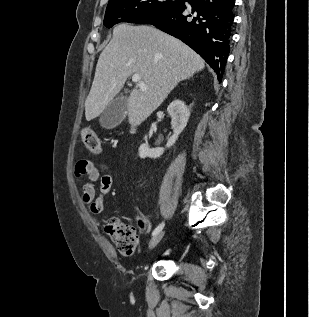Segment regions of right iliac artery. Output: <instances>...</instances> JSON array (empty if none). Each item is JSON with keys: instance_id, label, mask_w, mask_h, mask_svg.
I'll list each match as a JSON object with an SVG mask.
<instances>
[{"instance_id": "82829eb1", "label": "right iliac artery", "mask_w": 309, "mask_h": 317, "mask_svg": "<svg viewBox=\"0 0 309 317\" xmlns=\"http://www.w3.org/2000/svg\"><path fill=\"white\" fill-rule=\"evenodd\" d=\"M164 227V222H162L161 224H159L155 229L154 231L152 232V235H156L158 234Z\"/></svg>"}]
</instances>
